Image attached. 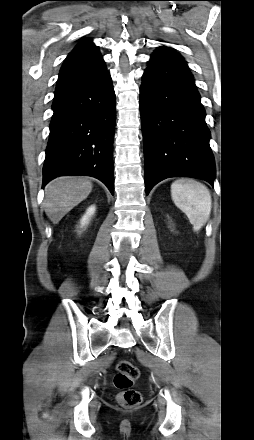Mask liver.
Returning <instances> with one entry per match:
<instances>
[{"label":"liver","instance_id":"6515ba94","mask_svg":"<svg viewBox=\"0 0 254 440\" xmlns=\"http://www.w3.org/2000/svg\"><path fill=\"white\" fill-rule=\"evenodd\" d=\"M92 191V183L84 177H59L45 187L46 213L57 224L71 209L85 200Z\"/></svg>","mask_w":254,"mask_h":440}]
</instances>
